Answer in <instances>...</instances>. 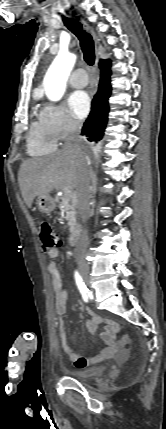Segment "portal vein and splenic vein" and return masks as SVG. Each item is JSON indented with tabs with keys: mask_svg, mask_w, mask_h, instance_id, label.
Listing matches in <instances>:
<instances>
[{
	"mask_svg": "<svg viewBox=\"0 0 166 429\" xmlns=\"http://www.w3.org/2000/svg\"><path fill=\"white\" fill-rule=\"evenodd\" d=\"M63 192H64V197L66 198V199H71V198H73V192H72V190L71 189H69V188H65V189H63Z\"/></svg>",
	"mask_w": 166,
	"mask_h": 429,
	"instance_id": "obj_1",
	"label": "portal vein and splenic vein"
}]
</instances>
